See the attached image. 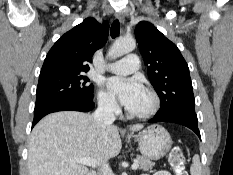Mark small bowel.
<instances>
[{"mask_svg": "<svg viewBox=\"0 0 233 175\" xmlns=\"http://www.w3.org/2000/svg\"><path fill=\"white\" fill-rule=\"evenodd\" d=\"M141 175H148V174H141ZM154 175H171V173H169L168 171H165V170H161V171H158Z\"/></svg>", "mask_w": 233, "mask_h": 175, "instance_id": "obj_1", "label": "small bowel"}]
</instances>
